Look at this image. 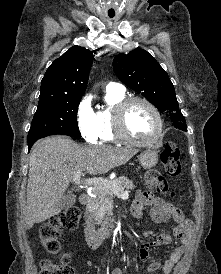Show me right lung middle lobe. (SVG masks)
<instances>
[{
	"mask_svg": "<svg viewBox=\"0 0 221 274\" xmlns=\"http://www.w3.org/2000/svg\"><path fill=\"white\" fill-rule=\"evenodd\" d=\"M80 100L81 97L39 99L28 133V143L56 134L80 138L77 124Z\"/></svg>",
	"mask_w": 221,
	"mask_h": 274,
	"instance_id": "1",
	"label": "right lung middle lobe"
}]
</instances>
